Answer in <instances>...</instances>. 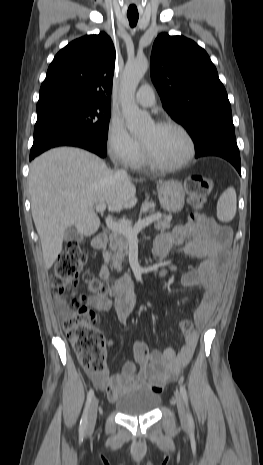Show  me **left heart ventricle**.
Segmentation results:
<instances>
[{
  "label": "left heart ventricle",
  "mask_w": 263,
  "mask_h": 465,
  "mask_svg": "<svg viewBox=\"0 0 263 465\" xmlns=\"http://www.w3.org/2000/svg\"><path fill=\"white\" fill-rule=\"evenodd\" d=\"M155 159L164 164H173L184 159L188 152V142L175 128L147 127L140 136Z\"/></svg>",
  "instance_id": "obj_1"
}]
</instances>
